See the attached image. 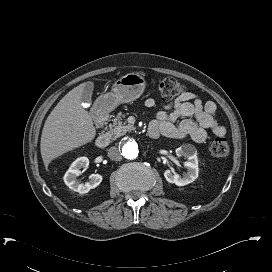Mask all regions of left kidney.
<instances>
[{
	"mask_svg": "<svg viewBox=\"0 0 272 272\" xmlns=\"http://www.w3.org/2000/svg\"><path fill=\"white\" fill-rule=\"evenodd\" d=\"M175 152L178 157L183 156L187 158V161L184 163V166L187 168V173L183 176H179L177 173L168 169L164 172V177L169 183H174L177 186H185L198 178L197 150L193 145L186 144L177 148Z\"/></svg>",
	"mask_w": 272,
	"mask_h": 272,
	"instance_id": "left-kidney-1",
	"label": "left kidney"
}]
</instances>
